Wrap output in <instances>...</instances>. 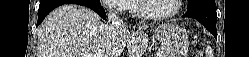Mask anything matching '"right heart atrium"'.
<instances>
[{
	"label": "right heart atrium",
	"instance_id": "d8ad5b80",
	"mask_svg": "<svg viewBox=\"0 0 249 57\" xmlns=\"http://www.w3.org/2000/svg\"><path fill=\"white\" fill-rule=\"evenodd\" d=\"M131 1L128 0H105V7L115 14H123L130 10Z\"/></svg>",
	"mask_w": 249,
	"mask_h": 57
}]
</instances>
